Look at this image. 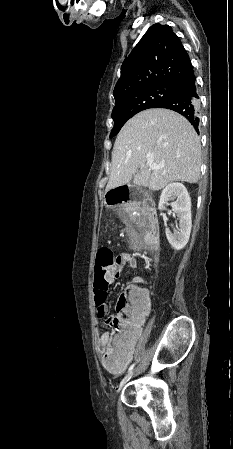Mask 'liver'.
Returning <instances> with one entry per match:
<instances>
[{
	"label": "liver",
	"mask_w": 233,
	"mask_h": 449,
	"mask_svg": "<svg viewBox=\"0 0 233 449\" xmlns=\"http://www.w3.org/2000/svg\"><path fill=\"white\" fill-rule=\"evenodd\" d=\"M152 160L159 168L147 165ZM199 138L182 115L168 109L144 110L129 119L117 135L106 192L130 182L158 191L174 181L200 178Z\"/></svg>",
	"instance_id": "liver-1"
}]
</instances>
